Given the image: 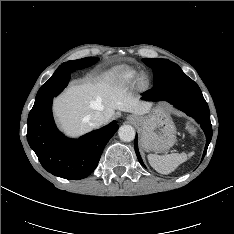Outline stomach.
I'll return each mask as SVG.
<instances>
[{"mask_svg": "<svg viewBox=\"0 0 234 234\" xmlns=\"http://www.w3.org/2000/svg\"><path fill=\"white\" fill-rule=\"evenodd\" d=\"M138 125L142 130L140 143L144 151H166L176 142V127L162 106L152 109L146 116L138 117Z\"/></svg>", "mask_w": 234, "mask_h": 234, "instance_id": "stomach-1", "label": "stomach"}]
</instances>
